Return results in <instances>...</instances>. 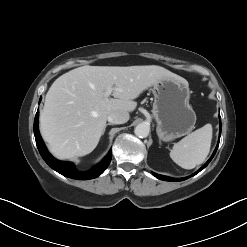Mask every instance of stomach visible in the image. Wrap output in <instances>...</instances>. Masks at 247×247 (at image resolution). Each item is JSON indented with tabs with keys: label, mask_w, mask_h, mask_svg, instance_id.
<instances>
[{
	"label": "stomach",
	"mask_w": 247,
	"mask_h": 247,
	"mask_svg": "<svg viewBox=\"0 0 247 247\" xmlns=\"http://www.w3.org/2000/svg\"><path fill=\"white\" fill-rule=\"evenodd\" d=\"M152 92V113L158 136L170 142L190 133L196 123V114L189 104L188 82L180 77H164L153 85Z\"/></svg>",
	"instance_id": "1"
}]
</instances>
